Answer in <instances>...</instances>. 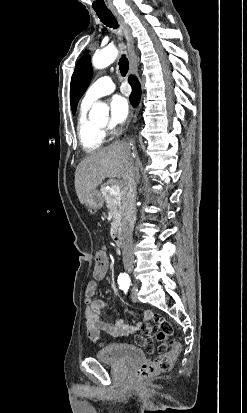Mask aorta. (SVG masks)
Wrapping results in <instances>:
<instances>
[{"instance_id": "1", "label": "aorta", "mask_w": 247, "mask_h": 413, "mask_svg": "<svg viewBox=\"0 0 247 413\" xmlns=\"http://www.w3.org/2000/svg\"><path fill=\"white\" fill-rule=\"evenodd\" d=\"M118 56L115 47H106L93 55L92 64L96 69H103L112 64ZM108 113V108L102 103H95L90 111L91 117H100Z\"/></svg>"}]
</instances>
